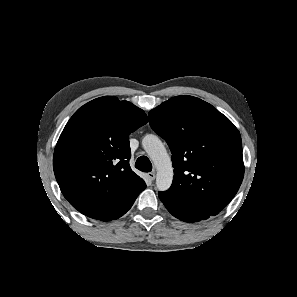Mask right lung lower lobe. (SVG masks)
<instances>
[{"label": "right lung lower lobe", "mask_w": 297, "mask_h": 297, "mask_svg": "<svg viewBox=\"0 0 297 297\" xmlns=\"http://www.w3.org/2000/svg\"><path fill=\"white\" fill-rule=\"evenodd\" d=\"M144 190V189H143ZM139 194H137V195H135L131 200H130V202L129 203H127L126 204V206L112 219V220H114V219H117V218H119V217H121L122 215H124L130 208H131V206L133 205V203H134V201H135V199L137 198V196H138Z\"/></svg>", "instance_id": "1"}]
</instances>
